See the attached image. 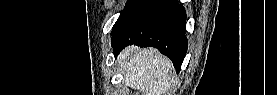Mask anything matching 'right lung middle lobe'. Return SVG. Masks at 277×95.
<instances>
[{"label": "right lung middle lobe", "instance_id": "obj_1", "mask_svg": "<svg viewBox=\"0 0 277 95\" xmlns=\"http://www.w3.org/2000/svg\"><path fill=\"white\" fill-rule=\"evenodd\" d=\"M147 0H128L124 10L112 28L111 35Z\"/></svg>", "mask_w": 277, "mask_h": 95}]
</instances>
